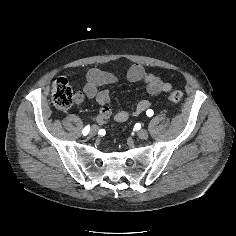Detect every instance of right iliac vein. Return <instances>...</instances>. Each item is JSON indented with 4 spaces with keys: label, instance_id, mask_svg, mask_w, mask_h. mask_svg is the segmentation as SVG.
I'll list each match as a JSON object with an SVG mask.
<instances>
[{
    "label": "right iliac vein",
    "instance_id": "1",
    "mask_svg": "<svg viewBox=\"0 0 236 236\" xmlns=\"http://www.w3.org/2000/svg\"><path fill=\"white\" fill-rule=\"evenodd\" d=\"M98 132V127L97 126H92L90 130V136H95Z\"/></svg>",
    "mask_w": 236,
    "mask_h": 236
}]
</instances>
